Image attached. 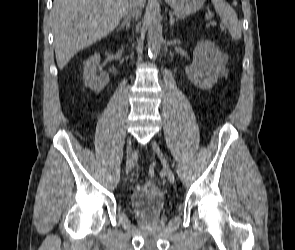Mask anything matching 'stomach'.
Listing matches in <instances>:
<instances>
[{
    "label": "stomach",
    "instance_id": "obj_1",
    "mask_svg": "<svg viewBox=\"0 0 295 250\" xmlns=\"http://www.w3.org/2000/svg\"><path fill=\"white\" fill-rule=\"evenodd\" d=\"M175 11L182 14H192L202 8L205 0H165Z\"/></svg>",
    "mask_w": 295,
    "mask_h": 250
}]
</instances>
